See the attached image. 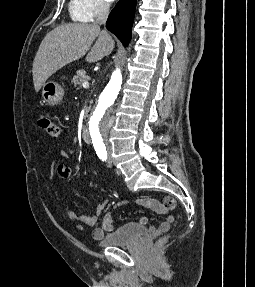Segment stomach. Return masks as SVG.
I'll use <instances>...</instances> for the list:
<instances>
[{
  "label": "stomach",
  "instance_id": "stomach-1",
  "mask_svg": "<svg viewBox=\"0 0 255 287\" xmlns=\"http://www.w3.org/2000/svg\"><path fill=\"white\" fill-rule=\"evenodd\" d=\"M64 90L56 82H46L42 86V98L48 106H57L63 100Z\"/></svg>",
  "mask_w": 255,
  "mask_h": 287
}]
</instances>
